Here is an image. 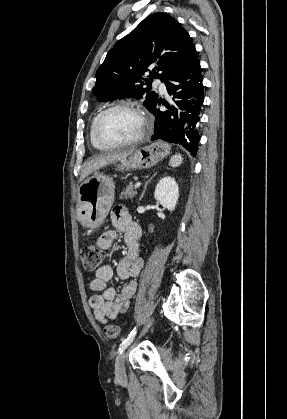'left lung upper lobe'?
<instances>
[{"instance_id": "obj_1", "label": "left lung upper lobe", "mask_w": 287, "mask_h": 419, "mask_svg": "<svg viewBox=\"0 0 287 419\" xmlns=\"http://www.w3.org/2000/svg\"><path fill=\"white\" fill-rule=\"evenodd\" d=\"M195 58V46L181 24L165 13H155L108 52L96 72L93 92L100 101L145 98V106L151 110L158 95L143 85H149L153 78L166 81L186 69ZM146 71H150V79H143Z\"/></svg>"}]
</instances>
